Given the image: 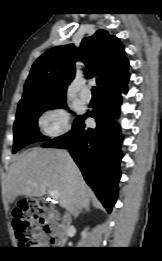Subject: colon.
Here are the masks:
<instances>
[{"label":"colon","instance_id":"5ec220e1","mask_svg":"<svg viewBox=\"0 0 162 261\" xmlns=\"http://www.w3.org/2000/svg\"><path fill=\"white\" fill-rule=\"evenodd\" d=\"M58 213L44 199H29L13 211V227L22 248L31 249L48 243L41 226L46 220H55Z\"/></svg>","mask_w":162,"mask_h":261}]
</instances>
